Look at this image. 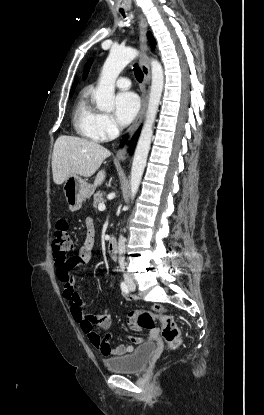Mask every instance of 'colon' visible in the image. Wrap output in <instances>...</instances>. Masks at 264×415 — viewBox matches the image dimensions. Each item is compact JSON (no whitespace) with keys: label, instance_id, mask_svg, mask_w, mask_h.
Here are the masks:
<instances>
[{"label":"colon","instance_id":"colon-1","mask_svg":"<svg viewBox=\"0 0 264 415\" xmlns=\"http://www.w3.org/2000/svg\"><path fill=\"white\" fill-rule=\"evenodd\" d=\"M53 249L56 263L64 262L69 253L74 249L69 224L66 220L58 221L54 232ZM155 311H160L155 308ZM139 326L152 329L156 324V319L150 312L144 311L136 315ZM157 320L163 325V337L168 346L172 349L181 344V333L175 318L169 314L160 313Z\"/></svg>","mask_w":264,"mask_h":415}]
</instances>
